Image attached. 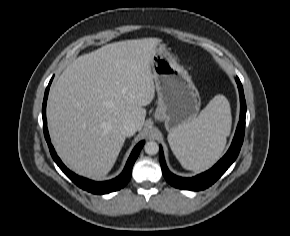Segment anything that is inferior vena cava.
<instances>
[{"label": "inferior vena cava", "mask_w": 290, "mask_h": 236, "mask_svg": "<svg viewBox=\"0 0 290 236\" xmlns=\"http://www.w3.org/2000/svg\"><path fill=\"white\" fill-rule=\"evenodd\" d=\"M121 131L126 137H130V136H133L135 134L137 129H136L134 122L126 121L122 124Z\"/></svg>", "instance_id": "602c4592"}]
</instances>
